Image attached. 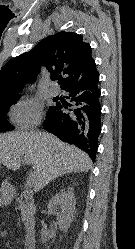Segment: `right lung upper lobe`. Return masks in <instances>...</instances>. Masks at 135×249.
I'll return each mask as SVG.
<instances>
[{"label":"right lung upper lobe","instance_id":"right-lung-upper-lobe-1","mask_svg":"<svg viewBox=\"0 0 135 249\" xmlns=\"http://www.w3.org/2000/svg\"><path fill=\"white\" fill-rule=\"evenodd\" d=\"M46 65L53 80L65 75L62 89L94 77L98 71L92 50L83 37L61 31L48 36L31 51L8 61L0 70V100L16 97L28 81H35L40 64Z\"/></svg>","mask_w":135,"mask_h":249}]
</instances>
